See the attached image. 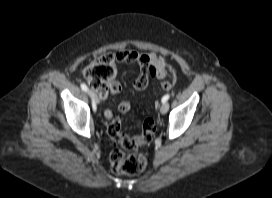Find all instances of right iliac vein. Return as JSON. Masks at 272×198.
Wrapping results in <instances>:
<instances>
[{"label": "right iliac vein", "instance_id": "1", "mask_svg": "<svg viewBox=\"0 0 272 198\" xmlns=\"http://www.w3.org/2000/svg\"><path fill=\"white\" fill-rule=\"evenodd\" d=\"M89 95L91 96V98L93 99V101L99 103V98H98V96L94 92L90 91Z\"/></svg>", "mask_w": 272, "mask_h": 198}]
</instances>
